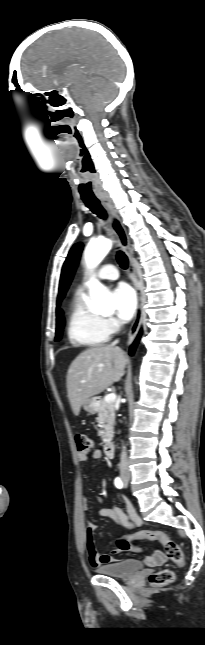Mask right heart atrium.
I'll list each match as a JSON object with an SVG mask.
<instances>
[{"instance_id":"right-heart-atrium-1","label":"right heart atrium","mask_w":205,"mask_h":645,"mask_svg":"<svg viewBox=\"0 0 205 645\" xmlns=\"http://www.w3.org/2000/svg\"><path fill=\"white\" fill-rule=\"evenodd\" d=\"M106 323H107V326H108L110 332H113L118 328V322L113 318H108L106 320Z\"/></svg>"}]
</instances>
